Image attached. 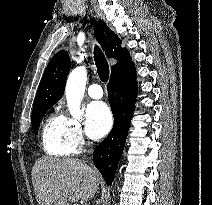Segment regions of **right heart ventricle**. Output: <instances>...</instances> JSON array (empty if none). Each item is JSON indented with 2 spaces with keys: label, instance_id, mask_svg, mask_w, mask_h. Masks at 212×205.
Segmentation results:
<instances>
[{
  "label": "right heart ventricle",
  "instance_id": "e07e8e85",
  "mask_svg": "<svg viewBox=\"0 0 212 205\" xmlns=\"http://www.w3.org/2000/svg\"><path fill=\"white\" fill-rule=\"evenodd\" d=\"M41 141L44 151L51 156L67 157L75 149L69 139L65 117L52 114L42 128Z\"/></svg>",
  "mask_w": 212,
  "mask_h": 205
}]
</instances>
